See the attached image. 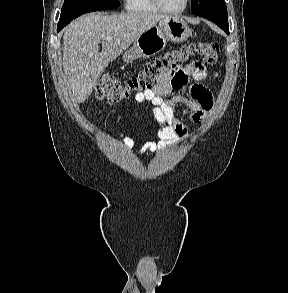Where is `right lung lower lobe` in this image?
I'll return each instance as SVG.
<instances>
[{"label":"right lung lower lobe","mask_w":288,"mask_h":293,"mask_svg":"<svg viewBox=\"0 0 288 293\" xmlns=\"http://www.w3.org/2000/svg\"><path fill=\"white\" fill-rule=\"evenodd\" d=\"M62 28H57V31H60Z\"/></svg>","instance_id":"obj_1"}]
</instances>
